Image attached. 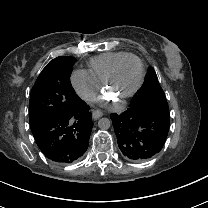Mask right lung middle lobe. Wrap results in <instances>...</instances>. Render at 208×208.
Instances as JSON below:
<instances>
[{"label": "right lung middle lobe", "instance_id": "obj_1", "mask_svg": "<svg viewBox=\"0 0 208 208\" xmlns=\"http://www.w3.org/2000/svg\"><path fill=\"white\" fill-rule=\"evenodd\" d=\"M75 58L61 56L51 60L38 76L29 102V121L38 122L76 111L81 99L70 82Z\"/></svg>", "mask_w": 208, "mask_h": 208}]
</instances>
